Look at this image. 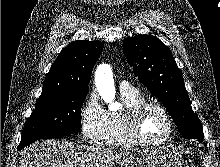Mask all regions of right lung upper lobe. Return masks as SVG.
I'll use <instances>...</instances> for the list:
<instances>
[{
	"label": "right lung upper lobe",
	"instance_id": "1",
	"mask_svg": "<svg viewBox=\"0 0 220 167\" xmlns=\"http://www.w3.org/2000/svg\"><path fill=\"white\" fill-rule=\"evenodd\" d=\"M102 50L103 43L100 41L71 42L51 66L39 99L67 90L88 89L92 69Z\"/></svg>",
	"mask_w": 220,
	"mask_h": 167
}]
</instances>
